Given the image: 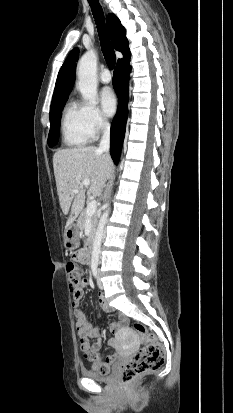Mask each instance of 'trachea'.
I'll return each instance as SVG.
<instances>
[{
	"label": "trachea",
	"instance_id": "1",
	"mask_svg": "<svg viewBox=\"0 0 233 413\" xmlns=\"http://www.w3.org/2000/svg\"><path fill=\"white\" fill-rule=\"evenodd\" d=\"M88 2L95 18L104 58L109 68L113 69L116 63V55L105 28L102 7L98 0H88Z\"/></svg>",
	"mask_w": 233,
	"mask_h": 413
}]
</instances>
